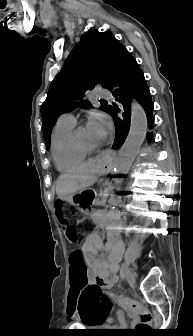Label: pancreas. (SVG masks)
<instances>
[{"instance_id": "obj_1", "label": "pancreas", "mask_w": 193, "mask_h": 336, "mask_svg": "<svg viewBox=\"0 0 193 336\" xmlns=\"http://www.w3.org/2000/svg\"><path fill=\"white\" fill-rule=\"evenodd\" d=\"M108 197H109V194L107 193V195H104L103 199H98V201L94 205V210L100 211V212L106 211L108 209L107 202H106Z\"/></svg>"}]
</instances>
